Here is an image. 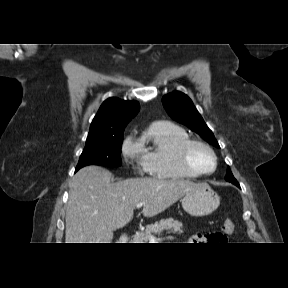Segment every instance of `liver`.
<instances>
[{
    "instance_id": "6515ba94",
    "label": "liver",
    "mask_w": 288,
    "mask_h": 288,
    "mask_svg": "<svg viewBox=\"0 0 288 288\" xmlns=\"http://www.w3.org/2000/svg\"><path fill=\"white\" fill-rule=\"evenodd\" d=\"M100 166L80 169L69 184L66 243H111L113 232L133 219L137 203L153 217L176 203L197 184L176 179L136 178L111 182Z\"/></svg>"
}]
</instances>
